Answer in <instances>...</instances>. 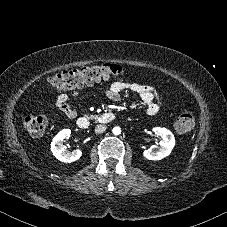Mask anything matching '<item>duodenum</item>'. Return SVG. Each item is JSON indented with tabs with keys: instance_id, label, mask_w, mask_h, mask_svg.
Returning a JSON list of instances; mask_svg holds the SVG:
<instances>
[{
	"instance_id": "410a0bca",
	"label": "duodenum",
	"mask_w": 227,
	"mask_h": 227,
	"mask_svg": "<svg viewBox=\"0 0 227 227\" xmlns=\"http://www.w3.org/2000/svg\"><path fill=\"white\" fill-rule=\"evenodd\" d=\"M114 120V114L111 112L104 113L97 118V123L107 124ZM91 125V120L86 117H81L77 120V126L80 129H87Z\"/></svg>"
}]
</instances>
